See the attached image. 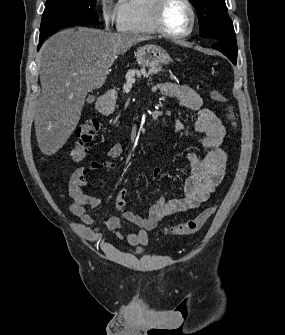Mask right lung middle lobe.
I'll use <instances>...</instances> for the list:
<instances>
[{
  "label": "right lung middle lobe",
  "mask_w": 285,
  "mask_h": 335,
  "mask_svg": "<svg viewBox=\"0 0 285 335\" xmlns=\"http://www.w3.org/2000/svg\"><path fill=\"white\" fill-rule=\"evenodd\" d=\"M96 0H47L43 13L40 39L71 24L97 23Z\"/></svg>",
  "instance_id": "obj_1"
}]
</instances>
